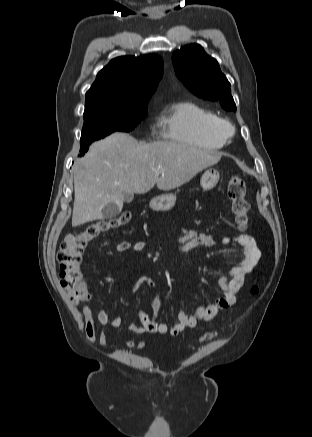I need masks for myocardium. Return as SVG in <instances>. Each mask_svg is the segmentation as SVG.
<instances>
[{"mask_svg":"<svg viewBox=\"0 0 312 437\" xmlns=\"http://www.w3.org/2000/svg\"><path fill=\"white\" fill-rule=\"evenodd\" d=\"M216 127L226 137L233 135L235 131L233 124L225 118H219L216 122Z\"/></svg>","mask_w":312,"mask_h":437,"instance_id":"myocardium-1","label":"myocardium"}]
</instances>
